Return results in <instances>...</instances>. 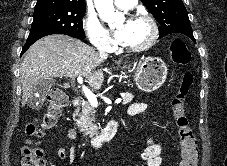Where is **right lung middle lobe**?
<instances>
[{
    "mask_svg": "<svg viewBox=\"0 0 227 166\" xmlns=\"http://www.w3.org/2000/svg\"><path fill=\"white\" fill-rule=\"evenodd\" d=\"M86 7L74 5H36L27 41L51 34H65L84 39L82 18Z\"/></svg>",
    "mask_w": 227,
    "mask_h": 166,
    "instance_id": "1",
    "label": "right lung middle lobe"
}]
</instances>
